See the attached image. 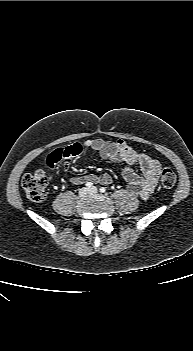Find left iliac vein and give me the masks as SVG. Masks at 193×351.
<instances>
[{"instance_id":"4c4485c4","label":"left iliac vein","mask_w":193,"mask_h":351,"mask_svg":"<svg viewBox=\"0 0 193 351\" xmlns=\"http://www.w3.org/2000/svg\"><path fill=\"white\" fill-rule=\"evenodd\" d=\"M97 192H98L97 187H91V188L89 189V193L95 194V193H97Z\"/></svg>"}]
</instances>
